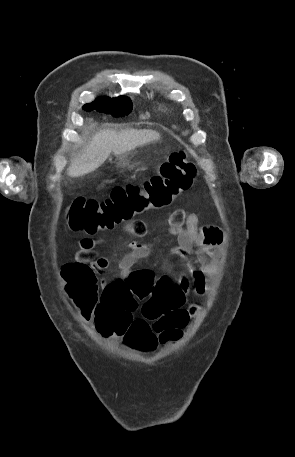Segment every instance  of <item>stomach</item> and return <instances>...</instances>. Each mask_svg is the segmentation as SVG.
<instances>
[{
  "instance_id": "obj_1",
  "label": "stomach",
  "mask_w": 295,
  "mask_h": 457,
  "mask_svg": "<svg viewBox=\"0 0 295 457\" xmlns=\"http://www.w3.org/2000/svg\"><path fill=\"white\" fill-rule=\"evenodd\" d=\"M125 157H126V155L124 154V155H122L120 158H121V159H124Z\"/></svg>"
}]
</instances>
